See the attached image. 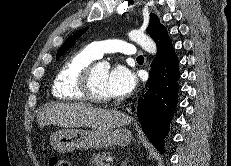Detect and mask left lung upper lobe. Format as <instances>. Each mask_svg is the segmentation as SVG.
Masks as SVG:
<instances>
[{
  "label": "left lung upper lobe",
  "instance_id": "left-lung-upper-lobe-1",
  "mask_svg": "<svg viewBox=\"0 0 231 166\" xmlns=\"http://www.w3.org/2000/svg\"><path fill=\"white\" fill-rule=\"evenodd\" d=\"M166 28L160 24L159 18L155 14H150V23L147 27L146 31L149 33L150 37L155 41V39L161 34L163 30ZM87 31V28L80 29L76 31L73 36H70L67 38V40L63 43V45L59 48L56 55V60L59 59L60 56H62L64 53L67 52L75 43L78 38L81 37V35Z\"/></svg>",
  "mask_w": 231,
  "mask_h": 166
}]
</instances>
